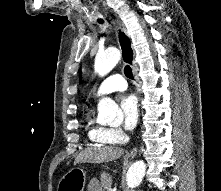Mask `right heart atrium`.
Instances as JSON below:
<instances>
[{"mask_svg":"<svg viewBox=\"0 0 221 191\" xmlns=\"http://www.w3.org/2000/svg\"><path fill=\"white\" fill-rule=\"evenodd\" d=\"M109 134L114 143H122L126 140V135L120 128H110Z\"/></svg>","mask_w":221,"mask_h":191,"instance_id":"right-heart-atrium-1","label":"right heart atrium"}]
</instances>
